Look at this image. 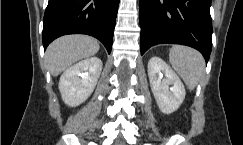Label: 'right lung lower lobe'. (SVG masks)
<instances>
[{
	"label": "right lung lower lobe",
	"mask_w": 243,
	"mask_h": 145,
	"mask_svg": "<svg viewBox=\"0 0 243 145\" xmlns=\"http://www.w3.org/2000/svg\"><path fill=\"white\" fill-rule=\"evenodd\" d=\"M119 0H49L43 19L44 50L57 37L88 34L111 52Z\"/></svg>",
	"instance_id": "1"
}]
</instances>
